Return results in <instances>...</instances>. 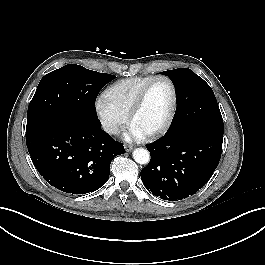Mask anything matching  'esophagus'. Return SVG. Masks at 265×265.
Returning a JSON list of instances; mask_svg holds the SVG:
<instances>
[{
	"instance_id": "obj_1",
	"label": "esophagus",
	"mask_w": 265,
	"mask_h": 265,
	"mask_svg": "<svg viewBox=\"0 0 265 265\" xmlns=\"http://www.w3.org/2000/svg\"><path fill=\"white\" fill-rule=\"evenodd\" d=\"M133 150V146H131V145H126L125 146V151L126 152H131Z\"/></svg>"
}]
</instances>
